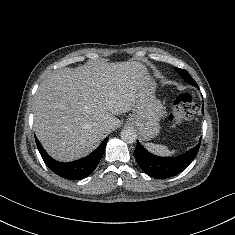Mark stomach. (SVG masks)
<instances>
[{"mask_svg":"<svg viewBox=\"0 0 235 235\" xmlns=\"http://www.w3.org/2000/svg\"><path fill=\"white\" fill-rule=\"evenodd\" d=\"M156 87L148 73L139 80L134 113L127 120L128 124L138 129L143 140H150L159 134V121L165 113L163 104L155 96Z\"/></svg>","mask_w":235,"mask_h":235,"instance_id":"1","label":"stomach"}]
</instances>
